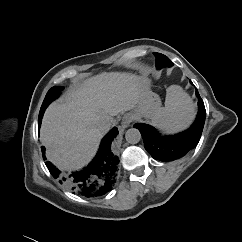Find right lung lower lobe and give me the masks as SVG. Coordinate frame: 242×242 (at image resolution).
I'll return each instance as SVG.
<instances>
[{
    "instance_id": "right-lung-lower-lobe-1",
    "label": "right lung lower lobe",
    "mask_w": 242,
    "mask_h": 242,
    "mask_svg": "<svg viewBox=\"0 0 242 242\" xmlns=\"http://www.w3.org/2000/svg\"><path fill=\"white\" fill-rule=\"evenodd\" d=\"M117 134L115 127L103 138L96 157L85 168L65 173L51 162H47L46 166L54 178H58L60 183L68 184L74 193L88 198L103 194L106 188H110L111 173L115 172L117 161L110 154V146L111 139ZM44 149L43 147L42 152Z\"/></svg>"
}]
</instances>
